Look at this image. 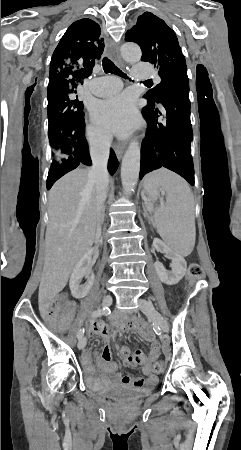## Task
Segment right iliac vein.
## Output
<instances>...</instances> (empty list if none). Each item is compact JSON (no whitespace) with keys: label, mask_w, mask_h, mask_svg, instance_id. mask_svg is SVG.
<instances>
[{"label":"right iliac vein","mask_w":241,"mask_h":450,"mask_svg":"<svg viewBox=\"0 0 241 450\" xmlns=\"http://www.w3.org/2000/svg\"><path fill=\"white\" fill-rule=\"evenodd\" d=\"M111 304H112V298H111V296H110V295H106V296L104 297L103 301H102V305L106 307V306H110ZM85 345H86V338H85V337H82V338L79 340V342H78V348H79V349H82V348L85 347Z\"/></svg>","instance_id":"1"}]
</instances>
